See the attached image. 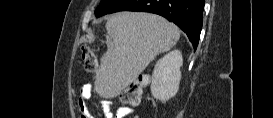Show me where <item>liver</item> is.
<instances>
[{"label":"liver","instance_id":"1","mask_svg":"<svg viewBox=\"0 0 273 118\" xmlns=\"http://www.w3.org/2000/svg\"><path fill=\"white\" fill-rule=\"evenodd\" d=\"M106 45L94 89L100 97H117L160 54L173 48L180 31L164 18L145 12H119L106 23Z\"/></svg>","mask_w":273,"mask_h":118}]
</instances>
